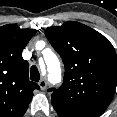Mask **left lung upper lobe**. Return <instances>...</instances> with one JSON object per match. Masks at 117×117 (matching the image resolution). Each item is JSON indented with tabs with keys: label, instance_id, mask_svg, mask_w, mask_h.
Wrapping results in <instances>:
<instances>
[{
	"label": "left lung upper lobe",
	"instance_id": "left-lung-upper-lobe-1",
	"mask_svg": "<svg viewBox=\"0 0 117 117\" xmlns=\"http://www.w3.org/2000/svg\"><path fill=\"white\" fill-rule=\"evenodd\" d=\"M45 35L65 65L60 88H50L59 117H98L112 101L117 84V56L99 32L69 21L48 27Z\"/></svg>",
	"mask_w": 117,
	"mask_h": 117
}]
</instances>
